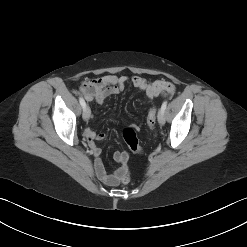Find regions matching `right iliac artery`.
Segmentation results:
<instances>
[{
  "label": "right iliac artery",
  "mask_w": 247,
  "mask_h": 247,
  "mask_svg": "<svg viewBox=\"0 0 247 247\" xmlns=\"http://www.w3.org/2000/svg\"><path fill=\"white\" fill-rule=\"evenodd\" d=\"M79 102H80L82 108L85 109L86 103H85V101H84V99L82 97H79Z\"/></svg>",
  "instance_id": "82829eb1"
}]
</instances>
